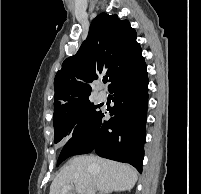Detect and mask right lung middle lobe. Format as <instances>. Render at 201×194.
<instances>
[{"mask_svg": "<svg viewBox=\"0 0 201 194\" xmlns=\"http://www.w3.org/2000/svg\"><path fill=\"white\" fill-rule=\"evenodd\" d=\"M101 111L89 100L83 101L71 113L54 119V142L58 143L62 139L75 138L83 133L99 116ZM70 155L61 153L57 162V166L61 164Z\"/></svg>", "mask_w": 201, "mask_h": 194, "instance_id": "dd1d6c3e", "label": "right lung middle lobe"}]
</instances>
